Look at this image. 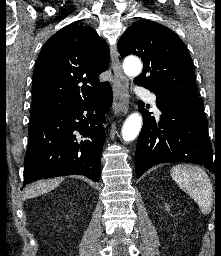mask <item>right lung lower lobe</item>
I'll list each match as a JSON object with an SVG mask.
<instances>
[{
	"instance_id": "98d812e1",
	"label": "right lung lower lobe",
	"mask_w": 221,
	"mask_h": 256,
	"mask_svg": "<svg viewBox=\"0 0 221 256\" xmlns=\"http://www.w3.org/2000/svg\"><path fill=\"white\" fill-rule=\"evenodd\" d=\"M112 100V89L108 87L90 100L30 122L23 185L73 174L98 182L105 114Z\"/></svg>"
}]
</instances>
